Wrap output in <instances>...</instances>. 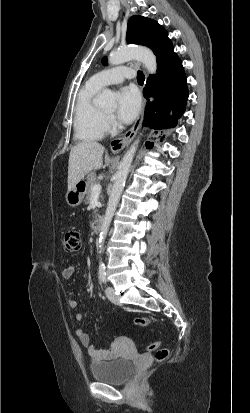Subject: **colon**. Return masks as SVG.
<instances>
[{"instance_id": "1", "label": "colon", "mask_w": 250, "mask_h": 413, "mask_svg": "<svg viewBox=\"0 0 250 413\" xmlns=\"http://www.w3.org/2000/svg\"><path fill=\"white\" fill-rule=\"evenodd\" d=\"M81 247V236L77 231H68L64 238V248L67 252H76ZM149 317H136L134 323L137 326H147L151 323ZM148 351H156L157 361H164L169 357V350L161 346V342H154L147 346Z\"/></svg>"}]
</instances>
